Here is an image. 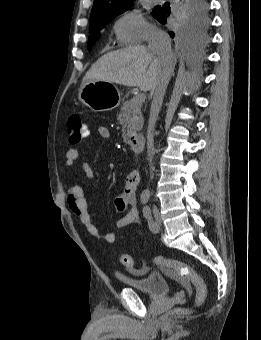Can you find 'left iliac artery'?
<instances>
[{
	"instance_id": "44dca946",
	"label": "left iliac artery",
	"mask_w": 261,
	"mask_h": 340,
	"mask_svg": "<svg viewBox=\"0 0 261 340\" xmlns=\"http://www.w3.org/2000/svg\"><path fill=\"white\" fill-rule=\"evenodd\" d=\"M143 216L147 219L150 230L154 231L156 228V223L154 222L152 218L151 209L148 206H145L143 208Z\"/></svg>"
}]
</instances>
